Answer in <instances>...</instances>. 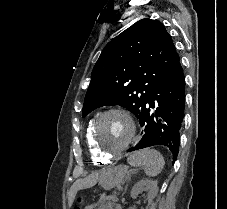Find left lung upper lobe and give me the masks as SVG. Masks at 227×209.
<instances>
[{
  "label": "left lung upper lobe",
  "instance_id": "5c2ea615",
  "mask_svg": "<svg viewBox=\"0 0 227 209\" xmlns=\"http://www.w3.org/2000/svg\"><path fill=\"white\" fill-rule=\"evenodd\" d=\"M179 61L160 22L142 19L103 49L91 74L82 116L105 105H121L139 118L165 75Z\"/></svg>",
  "mask_w": 227,
  "mask_h": 209
}]
</instances>
